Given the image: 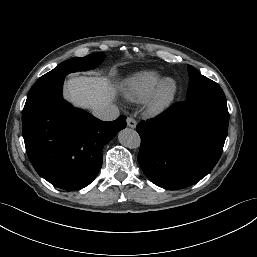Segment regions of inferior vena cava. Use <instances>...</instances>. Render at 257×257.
I'll return each mask as SVG.
<instances>
[{
    "label": "inferior vena cava",
    "instance_id": "1",
    "mask_svg": "<svg viewBox=\"0 0 257 257\" xmlns=\"http://www.w3.org/2000/svg\"><path fill=\"white\" fill-rule=\"evenodd\" d=\"M93 115L102 121H113L119 116V109L115 105L102 106L94 109Z\"/></svg>",
    "mask_w": 257,
    "mask_h": 257
}]
</instances>
